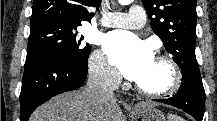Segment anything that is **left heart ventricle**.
Returning <instances> with one entry per match:
<instances>
[{
    "mask_svg": "<svg viewBox=\"0 0 217 121\" xmlns=\"http://www.w3.org/2000/svg\"><path fill=\"white\" fill-rule=\"evenodd\" d=\"M169 79L170 74L166 65L154 59L137 83L148 89H159L164 87Z\"/></svg>",
    "mask_w": 217,
    "mask_h": 121,
    "instance_id": "obj_1",
    "label": "left heart ventricle"
}]
</instances>
